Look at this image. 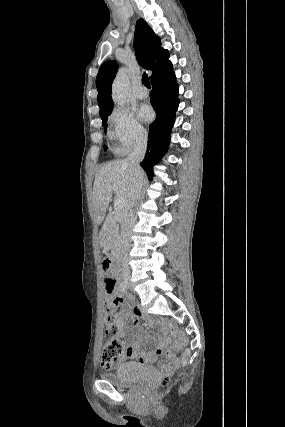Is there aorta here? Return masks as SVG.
Returning <instances> with one entry per match:
<instances>
[{
  "label": "aorta",
  "mask_w": 285,
  "mask_h": 427,
  "mask_svg": "<svg viewBox=\"0 0 285 427\" xmlns=\"http://www.w3.org/2000/svg\"><path fill=\"white\" fill-rule=\"evenodd\" d=\"M130 90L128 71L122 68L117 73L112 84V99L119 105L124 106L127 103L128 94Z\"/></svg>",
  "instance_id": "obj_1"
}]
</instances>
